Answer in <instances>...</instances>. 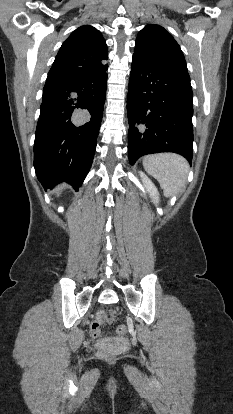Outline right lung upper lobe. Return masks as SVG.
Listing matches in <instances>:
<instances>
[{
	"instance_id": "cb5924a9",
	"label": "right lung upper lobe",
	"mask_w": 233,
	"mask_h": 414,
	"mask_svg": "<svg viewBox=\"0 0 233 414\" xmlns=\"http://www.w3.org/2000/svg\"><path fill=\"white\" fill-rule=\"evenodd\" d=\"M106 42L100 32L84 25L64 41L48 74L71 78L98 73L107 65Z\"/></svg>"
}]
</instances>
